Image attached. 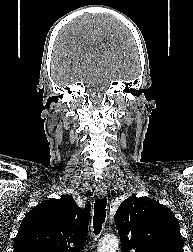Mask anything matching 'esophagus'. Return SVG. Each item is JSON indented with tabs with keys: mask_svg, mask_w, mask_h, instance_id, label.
<instances>
[{
	"mask_svg": "<svg viewBox=\"0 0 193 252\" xmlns=\"http://www.w3.org/2000/svg\"><path fill=\"white\" fill-rule=\"evenodd\" d=\"M107 187L105 184H98L96 187V195L98 198H103L106 195Z\"/></svg>",
	"mask_w": 193,
	"mask_h": 252,
	"instance_id": "esophagus-1",
	"label": "esophagus"
}]
</instances>
